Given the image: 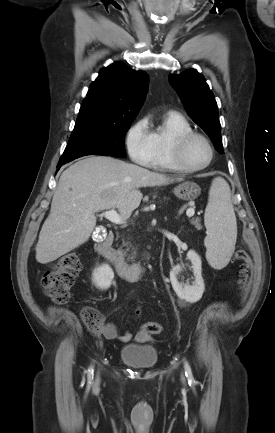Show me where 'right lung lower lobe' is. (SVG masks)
<instances>
[{
    "label": "right lung lower lobe",
    "mask_w": 275,
    "mask_h": 433,
    "mask_svg": "<svg viewBox=\"0 0 275 433\" xmlns=\"http://www.w3.org/2000/svg\"><path fill=\"white\" fill-rule=\"evenodd\" d=\"M63 164H58L57 168L59 169Z\"/></svg>",
    "instance_id": "98d812e1"
}]
</instances>
